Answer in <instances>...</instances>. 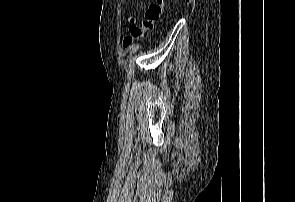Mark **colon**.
Instances as JSON below:
<instances>
[{
    "instance_id": "1",
    "label": "colon",
    "mask_w": 295,
    "mask_h": 202,
    "mask_svg": "<svg viewBox=\"0 0 295 202\" xmlns=\"http://www.w3.org/2000/svg\"><path fill=\"white\" fill-rule=\"evenodd\" d=\"M165 0H155L145 13V18L140 26L131 25L128 35L123 39V45L129 47L132 42L141 37L144 32L151 30L155 23L160 19L165 6Z\"/></svg>"
}]
</instances>
